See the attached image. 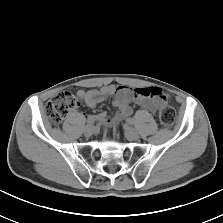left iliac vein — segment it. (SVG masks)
<instances>
[{"label":"left iliac vein","instance_id":"4c4485c4","mask_svg":"<svg viewBox=\"0 0 223 223\" xmlns=\"http://www.w3.org/2000/svg\"><path fill=\"white\" fill-rule=\"evenodd\" d=\"M124 134L126 138L130 141H134L139 138V133L137 132V130L130 127L129 125L124 126Z\"/></svg>","mask_w":223,"mask_h":223}]
</instances>
